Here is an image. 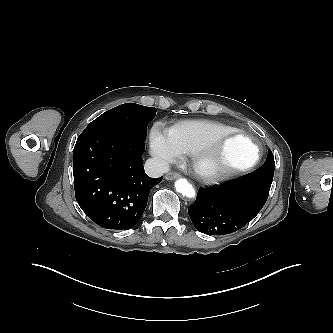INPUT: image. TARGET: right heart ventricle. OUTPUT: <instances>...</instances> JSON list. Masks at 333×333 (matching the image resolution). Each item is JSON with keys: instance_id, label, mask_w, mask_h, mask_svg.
I'll list each match as a JSON object with an SVG mask.
<instances>
[{"instance_id": "1", "label": "right heart ventricle", "mask_w": 333, "mask_h": 333, "mask_svg": "<svg viewBox=\"0 0 333 333\" xmlns=\"http://www.w3.org/2000/svg\"><path fill=\"white\" fill-rule=\"evenodd\" d=\"M234 130L218 121L195 119L176 123L170 132L184 153L191 154L214 137Z\"/></svg>"}]
</instances>
